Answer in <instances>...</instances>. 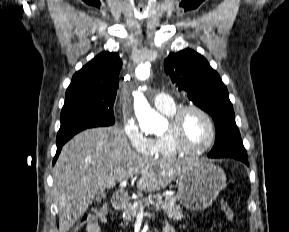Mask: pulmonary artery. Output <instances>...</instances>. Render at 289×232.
I'll use <instances>...</instances> for the list:
<instances>
[{"mask_svg":"<svg viewBox=\"0 0 289 232\" xmlns=\"http://www.w3.org/2000/svg\"><path fill=\"white\" fill-rule=\"evenodd\" d=\"M171 96L165 93H158L154 97V105L157 109L162 110L170 107L173 104Z\"/></svg>","mask_w":289,"mask_h":232,"instance_id":"e3ab8cb5","label":"pulmonary artery"}]
</instances>
